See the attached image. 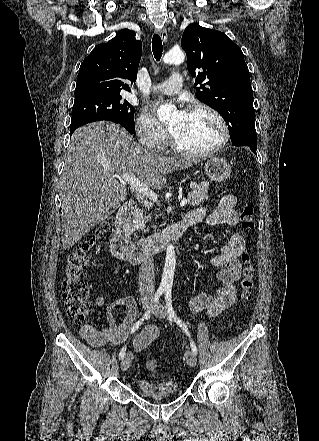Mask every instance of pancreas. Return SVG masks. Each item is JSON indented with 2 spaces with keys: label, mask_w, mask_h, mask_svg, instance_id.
Here are the masks:
<instances>
[{
  "label": "pancreas",
  "mask_w": 319,
  "mask_h": 441,
  "mask_svg": "<svg viewBox=\"0 0 319 441\" xmlns=\"http://www.w3.org/2000/svg\"><path fill=\"white\" fill-rule=\"evenodd\" d=\"M191 188L195 190V192L188 193L187 202L191 206H197L203 203L208 199L207 193L209 188V183L207 181H203L201 183L192 182ZM148 222V218L143 216V210L137 209L133 212V221L131 232L133 233L136 230H145V224Z\"/></svg>",
  "instance_id": "obj_1"
}]
</instances>
